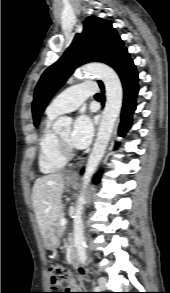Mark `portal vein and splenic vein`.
<instances>
[{"mask_svg":"<svg viewBox=\"0 0 170 293\" xmlns=\"http://www.w3.org/2000/svg\"><path fill=\"white\" fill-rule=\"evenodd\" d=\"M67 224V220L65 218L60 220V225L65 226Z\"/></svg>","mask_w":170,"mask_h":293,"instance_id":"portal-vein-and-splenic-vein-1","label":"portal vein and splenic vein"}]
</instances>
